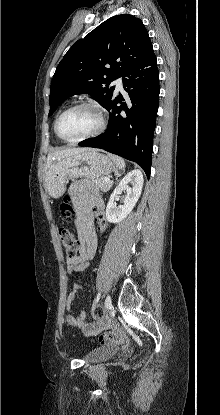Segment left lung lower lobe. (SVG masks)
<instances>
[{
    "mask_svg": "<svg viewBox=\"0 0 220 415\" xmlns=\"http://www.w3.org/2000/svg\"><path fill=\"white\" fill-rule=\"evenodd\" d=\"M121 77L128 98L124 99L121 94L114 95L105 107L110 111L105 133L86 139L79 145L104 149L134 161L149 178L160 89L155 54L146 63L129 69Z\"/></svg>",
    "mask_w": 220,
    "mask_h": 415,
    "instance_id": "left-lung-lower-lobe-1",
    "label": "left lung lower lobe"
}]
</instances>
